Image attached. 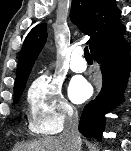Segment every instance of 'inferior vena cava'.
Wrapping results in <instances>:
<instances>
[{"instance_id": "602c4592", "label": "inferior vena cava", "mask_w": 131, "mask_h": 151, "mask_svg": "<svg viewBox=\"0 0 131 151\" xmlns=\"http://www.w3.org/2000/svg\"><path fill=\"white\" fill-rule=\"evenodd\" d=\"M60 137L72 145L73 151H81V137L78 131V114L74 112L72 108L67 110L64 131Z\"/></svg>"}]
</instances>
